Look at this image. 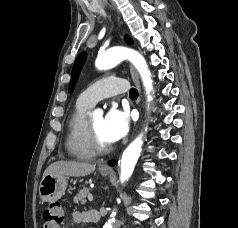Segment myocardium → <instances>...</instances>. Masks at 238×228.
I'll return each mask as SVG.
<instances>
[{
	"mask_svg": "<svg viewBox=\"0 0 238 228\" xmlns=\"http://www.w3.org/2000/svg\"><path fill=\"white\" fill-rule=\"evenodd\" d=\"M87 130H88L89 144L95 154L99 155L107 154L113 149L111 143L104 144L99 140L95 130L92 127L90 120L87 121Z\"/></svg>",
	"mask_w": 238,
	"mask_h": 228,
	"instance_id": "myocardium-1",
	"label": "myocardium"
}]
</instances>
